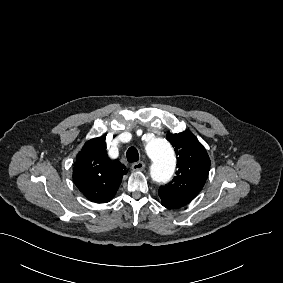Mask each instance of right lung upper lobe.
Instances as JSON below:
<instances>
[{
    "label": "right lung upper lobe",
    "instance_id": "1",
    "mask_svg": "<svg viewBox=\"0 0 283 283\" xmlns=\"http://www.w3.org/2000/svg\"><path fill=\"white\" fill-rule=\"evenodd\" d=\"M127 171L118 160L107 156L105 138H94L85 143L77 155L73 181L87 199L106 203L116 194Z\"/></svg>",
    "mask_w": 283,
    "mask_h": 283
}]
</instances>
